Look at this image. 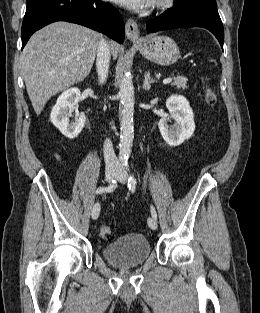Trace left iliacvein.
<instances>
[{
    "instance_id": "1",
    "label": "left iliac vein",
    "mask_w": 260,
    "mask_h": 313,
    "mask_svg": "<svg viewBox=\"0 0 260 313\" xmlns=\"http://www.w3.org/2000/svg\"><path fill=\"white\" fill-rule=\"evenodd\" d=\"M117 179L120 183L124 184L128 178V174L124 169H118L117 173H116ZM148 226L153 229L156 230L158 227L157 221L153 218V217H149L148 220Z\"/></svg>"
}]
</instances>
